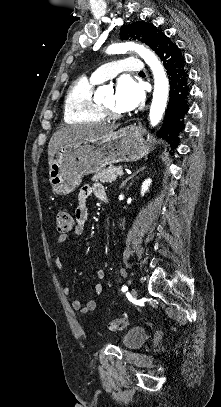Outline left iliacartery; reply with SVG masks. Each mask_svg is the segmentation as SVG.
Here are the masks:
<instances>
[{
    "label": "left iliac artery",
    "instance_id": "left-iliac-artery-1",
    "mask_svg": "<svg viewBox=\"0 0 221 407\" xmlns=\"http://www.w3.org/2000/svg\"><path fill=\"white\" fill-rule=\"evenodd\" d=\"M127 290H128V288H127L126 286H123V287H122V291H123V292H125V291H127Z\"/></svg>",
    "mask_w": 221,
    "mask_h": 407
}]
</instances>
